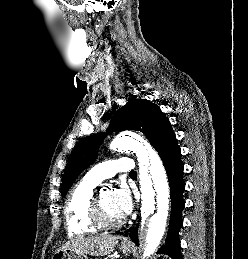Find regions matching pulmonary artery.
I'll return each mask as SVG.
<instances>
[{
  "label": "pulmonary artery",
  "mask_w": 248,
  "mask_h": 259,
  "mask_svg": "<svg viewBox=\"0 0 248 259\" xmlns=\"http://www.w3.org/2000/svg\"><path fill=\"white\" fill-rule=\"evenodd\" d=\"M132 171H135L134 161L123 157L95 165L86 173L85 178L99 184L104 179L113 177L116 173H130Z\"/></svg>",
  "instance_id": "obj_1"
}]
</instances>
